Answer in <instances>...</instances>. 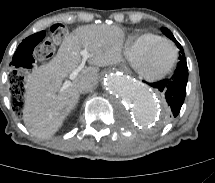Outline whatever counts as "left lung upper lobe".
<instances>
[{
  "label": "left lung upper lobe",
  "instance_id": "1",
  "mask_svg": "<svg viewBox=\"0 0 215 183\" xmlns=\"http://www.w3.org/2000/svg\"><path fill=\"white\" fill-rule=\"evenodd\" d=\"M161 31L167 36L169 37L171 40H173L177 47L180 49V57L179 59H183L185 58V54H184V51H183V48L182 46L178 43V41L174 38L173 34L171 33V31L167 28H161Z\"/></svg>",
  "mask_w": 215,
  "mask_h": 183
}]
</instances>
